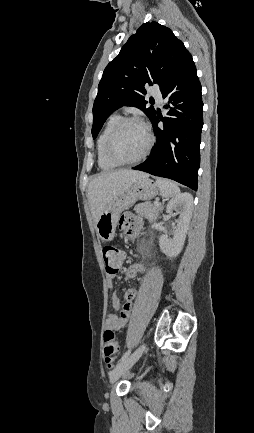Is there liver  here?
Wrapping results in <instances>:
<instances>
[{"instance_id": "6515ba94", "label": "liver", "mask_w": 254, "mask_h": 433, "mask_svg": "<svg viewBox=\"0 0 254 433\" xmlns=\"http://www.w3.org/2000/svg\"><path fill=\"white\" fill-rule=\"evenodd\" d=\"M143 177L148 175L129 169L95 175L89 183L87 194L94 222L98 221L102 211L114 198L123 194L136 180Z\"/></svg>"}]
</instances>
